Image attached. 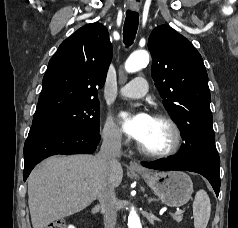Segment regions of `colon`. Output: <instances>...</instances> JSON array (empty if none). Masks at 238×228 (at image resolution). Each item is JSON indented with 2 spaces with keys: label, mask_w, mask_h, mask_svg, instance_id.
I'll return each mask as SVG.
<instances>
[{
  "label": "colon",
  "mask_w": 238,
  "mask_h": 228,
  "mask_svg": "<svg viewBox=\"0 0 238 228\" xmlns=\"http://www.w3.org/2000/svg\"><path fill=\"white\" fill-rule=\"evenodd\" d=\"M46 228H75L65 220H55L47 225Z\"/></svg>",
  "instance_id": "1"
}]
</instances>
